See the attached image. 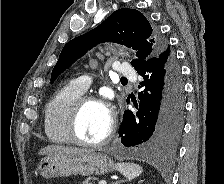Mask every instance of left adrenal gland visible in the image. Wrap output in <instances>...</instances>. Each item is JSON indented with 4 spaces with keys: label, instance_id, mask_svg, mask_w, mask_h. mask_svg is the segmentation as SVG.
<instances>
[{
    "label": "left adrenal gland",
    "instance_id": "a2214340",
    "mask_svg": "<svg viewBox=\"0 0 224 184\" xmlns=\"http://www.w3.org/2000/svg\"><path fill=\"white\" fill-rule=\"evenodd\" d=\"M121 182H124L123 180H119V181H116L114 184H120Z\"/></svg>",
    "mask_w": 224,
    "mask_h": 184
}]
</instances>
